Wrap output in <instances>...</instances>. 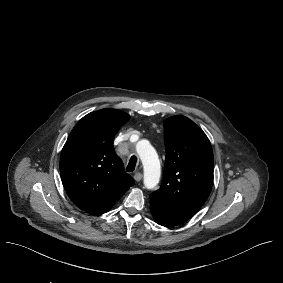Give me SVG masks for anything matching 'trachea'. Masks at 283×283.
<instances>
[{"label": "trachea", "instance_id": "obj_1", "mask_svg": "<svg viewBox=\"0 0 283 283\" xmlns=\"http://www.w3.org/2000/svg\"><path fill=\"white\" fill-rule=\"evenodd\" d=\"M136 164H137V157L133 155L129 160V163L126 167V171L133 172L135 170Z\"/></svg>", "mask_w": 283, "mask_h": 283}]
</instances>
